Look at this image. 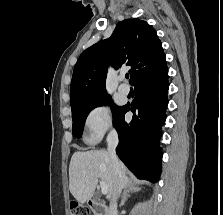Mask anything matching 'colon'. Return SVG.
I'll return each mask as SVG.
<instances>
[{
	"mask_svg": "<svg viewBox=\"0 0 223 215\" xmlns=\"http://www.w3.org/2000/svg\"><path fill=\"white\" fill-rule=\"evenodd\" d=\"M70 215H89V210L78 203H73L70 206Z\"/></svg>",
	"mask_w": 223,
	"mask_h": 215,
	"instance_id": "5ec220e1",
	"label": "colon"
}]
</instances>
